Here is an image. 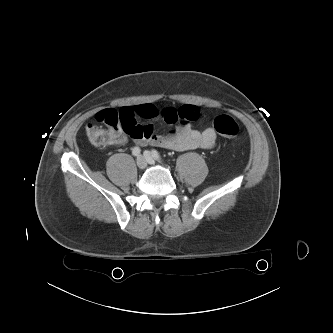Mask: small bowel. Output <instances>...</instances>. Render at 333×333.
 <instances>
[{
  "label": "small bowel",
  "instance_id": "obj_1",
  "mask_svg": "<svg viewBox=\"0 0 333 333\" xmlns=\"http://www.w3.org/2000/svg\"><path fill=\"white\" fill-rule=\"evenodd\" d=\"M136 117L154 120L160 118L169 127L165 133H157L150 124L139 125L132 134L119 131L114 133L112 144L120 145L131 139L138 145H153L176 151L213 148L217 143L214 128L198 130L192 123L202 117L198 106L183 105L178 108L168 107L158 110L151 104L139 105L131 108Z\"/></svg>",
  "mask_w": 333,
  "mask_h": 333
}]
</instances>
